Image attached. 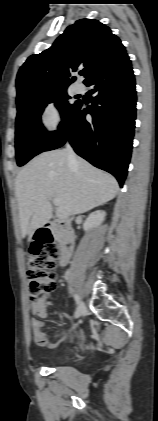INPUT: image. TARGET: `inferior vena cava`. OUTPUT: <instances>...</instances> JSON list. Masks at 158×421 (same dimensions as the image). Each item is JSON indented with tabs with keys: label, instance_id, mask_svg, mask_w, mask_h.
Masks as SVG:
<instances>
[{
	"label": "inferior vena cava",
	"instance_id": "obj_1",
	"mask_svg": "<svg viewBox=\"0 0 158 421\" xmlns=\"http://www.w3.org/2000/svg\"><path fill=\"white\" fill-rule=\"evenodd\" d=\"M66 151L68 153V161H69V163L76 162V154L74 153L72 147L69 144L66 145Z\"/></svg>",
	"mask_w": 158,
	"mask_h": 421
}]
</instances>
